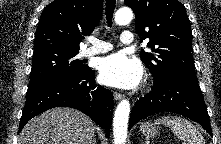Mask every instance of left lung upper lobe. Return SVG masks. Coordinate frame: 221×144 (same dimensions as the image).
I'll return each mask as SVG.
<instances>
[{
  "instance_id": "5c2ea615",
  "label": "left lung upper lobe",
  "mask_w": 221,
  "mask_h": 144,
  "mask_svg": "<svg viewBox=\"0 0 221 144\" xmlns=\"http://www.w3.org/2000/svg\"><path fill=\"white\" fill-rule=\"evenodd\" d=\"M136 15L141 42L149 40L150 52L141 60L155 79L170 75L198 80L191 54L192 31L185 7L178 0H125Z\"/></svg>"
}]
</instances>
